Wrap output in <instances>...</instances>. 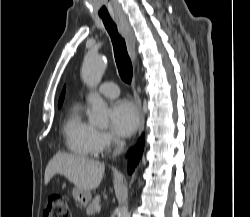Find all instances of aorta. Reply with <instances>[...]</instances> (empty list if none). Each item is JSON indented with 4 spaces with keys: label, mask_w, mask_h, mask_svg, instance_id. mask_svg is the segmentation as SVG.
<instances>
[{
    "label": "aorta",
    "mask_w": 250,
    "mask_h": 217,
    "mask_svg": "<svg viewBox=\"0 0 250 217\" xmlns=\"http://www.w3.org/2000/svg\"><path fill=\"white\" fill-rule=\"evenodd\" d=\"M105 69L106 62L104 56L90 53L84 58L81 77L83 81L94 90L101 82ZM89 102L91 103V112L89 114L90 122L94 125L105 127L108 124V105L96 93L90 94ZM117 217H129L127 203L120 207Z\"/></svg>",
    "instance_id": "aorta-1"
}]
</instances>
